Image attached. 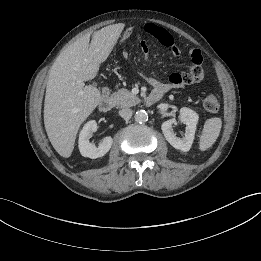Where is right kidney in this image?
Returning <instances> with one entry per match:
<instances>
[{
    "mask_svg": "<svg viewBox=\"0 0 261 261\" xmlns=\"http://www.w3.org/2000/svg\"><path fill=\"white\" fill-rule=\"evenodd\" d=\"M97 131V123L95 120L88 121L82 128L79 135V151L82 156L96 159L104 156L111 148L113 139L111 136L104 137L102 142L96 147L91 144L89 139L92 133Z\"/></svg>",
    "mask_w": 261,
    "mask_h": 261,
    "instance_id": "obj_1",
    "label": "right kidney"
}]
</instances>
